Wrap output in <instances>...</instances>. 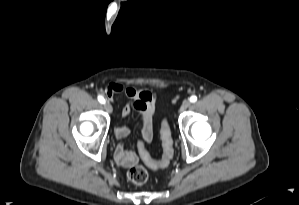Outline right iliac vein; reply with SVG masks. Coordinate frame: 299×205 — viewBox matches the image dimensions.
I'll return each instance as SVG.
<instances>
[{"mask_svg":"<svg viewBox=\"0 0 299 205\" xmlns=\"http://www.w3.org/2000/svg\"><path fill=\"white\" fill-rule=\"evenodd\" d=\"M104 108L106 109V111L108 113H112V111H113V108H112L111 104L108 103V102L104 104Z\"/></svg>","mask_w":299,"mask_h":205,"instance_id":"right-iliac-vein-1","label":"right iliac vein"}]
</instances>
